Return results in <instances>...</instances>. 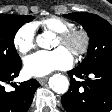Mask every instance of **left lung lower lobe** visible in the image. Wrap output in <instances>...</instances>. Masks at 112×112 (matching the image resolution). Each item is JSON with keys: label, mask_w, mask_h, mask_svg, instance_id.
Masks as SVG:
<instances>
[{"label": "left lung lower lobe", "mask_w": 112, "mask_h": 112, "mask_svg": "<svg viewBox=\"0 0 112 112\" xmlns=\"http://www.w3.org/2000/svg\"><path fill=\"white\" fill-rule=\"evenodd\" d=\"M70 88L61 98L67 112H109L112 109V61L68 72ZM74 76L83 79L75 80Z\"/></svg>", "instance_id": "left-lung-lower-lobe-1"}]
</instances>
